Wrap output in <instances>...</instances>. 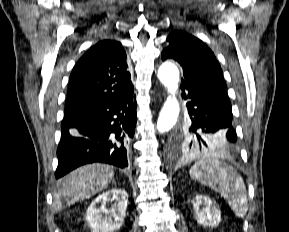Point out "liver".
<instances>
[{
    "label": "liver",
    "mask_w": 289,
    "mask_h": 232,
    "mask_svg": "<svg viewBox=\"0 0 289 232\" xmlns=\"http://www.w3.org/2000/svg\"><path fill=\"white\" fill-rule=\"evenodd\" d=\"M114 177L112 166L92 163L79 167L57 182L53 194L54 212L105 190Z\"/></svg>",
    "instance_id": "liver-1"
}]
</instances>
